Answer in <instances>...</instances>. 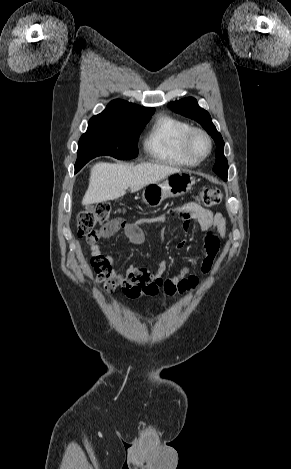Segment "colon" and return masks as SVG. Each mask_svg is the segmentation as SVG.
Segmentation results:
<instances>
[{
    "mask_svg": "<svg viewBox=\"0 0 291 469\" xmlns=\"http://www.w3.org/2000/svg\"><path fill=\"white\" fill-rule=\"evenodd\" d=\"M220 189L203 188L197 195V200L206 207H213L222 201ZM112 213V206L108 202H101L92 210L82 212L76 222L77 233L80 237H85L88 243L97 242L106 234V226ZM99 225V227H97ZM91 264L95 271L101 272L108 265L99 258H92Z\"/></svg>",
    "mask_w": 291,
    "mask_h": 469,
    "instance_id": "5ec220e1",
    "label": "colon"
}]
</instances>
